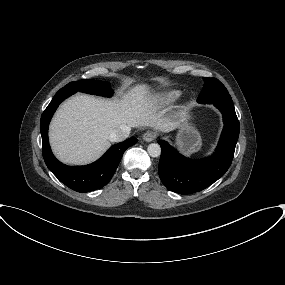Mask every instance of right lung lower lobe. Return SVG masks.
Wrapping results in <instances>:
<instances>
[{"label": "right lung lower lobe", "mask_w": 285, "mask_h": 285, "mask_svg": "<svg viewBox=\"0 0 285 285\" xmlns=\"http://www.w3.org/2000/svg\"><path fill=\"white\" fill-rule=\"evenodd\" d=\"M72 91L59 90L41 116L40 131L43 144V158L50 171L67 187L77 192H89L105 186L112 178L123 153L136 144V138H129L113 145L99 160L86 166H67L52 154L48 141V126L58 105Z\"/></svg>", "instance_id": "1"}]
</instances>
